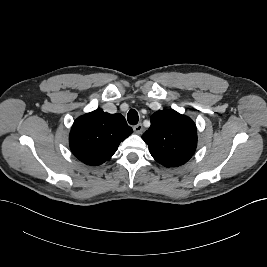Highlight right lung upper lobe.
I'll return each instance as SVG.
<instances>
[{
    "label": "right lung upper lobe",
    "instance_id": "1",
    "mask_svg": "<svg viewBox=\"0 0 267 267\" xmlns=\"http://www.w3.org/2000/svg\"><path fill=\"white\" fill-rule=\"evenodd\" d=\"M132 132L123 115L95 110L74 121L69 145L77 159L97 166L110 159Z\"/></svg>",
    "mask_w": 267,
    "mask_h": 267
}]
</instances>
